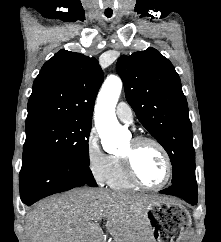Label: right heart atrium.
<instances>
[{"label":"right heart atrium","instance_id":"1","mask_svg":"<svg viewBox=\"0 0 221 242\" xmlns=\"http://www.w3.org/2000/svg\"><path fill=\"white\" fill-rule=\"evenodd\" d=\"M85 153L87 166L93 178L100 184L106 182L112 159L111 155L103 151L94 131H91L86 138Z\"/></svg>","mask_w":221,"mask_h":242}]
</instances>
